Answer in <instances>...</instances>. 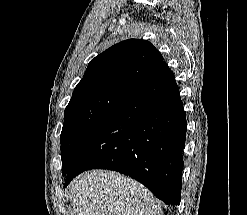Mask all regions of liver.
<instances>
[{
	"instance_id": "6515ba94",
	"label": "liver",
	"mask_w": 247,
	"mask_h": 215,
	"mask_svg": "<svg viewBox=\"0 0 247 215\" xmlns=\"http://www.w3.org/2000/svg\"><path fill=\"white\" fill-rule=\"evenodd\" d=\"M68 189L76 215H163L147 188L112 171L85 172Z\"/></svg>"
}]
</instances>
